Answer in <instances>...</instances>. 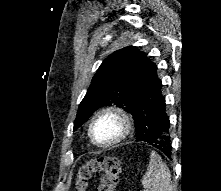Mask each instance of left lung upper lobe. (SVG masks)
Segmentation results:
<instances>
[{"mask_svg": "<svg viewBox=\"0 0 221 191\" xmlns=\"http://www.w3.org/2000/svg\"><path fill=\"white\" fill-rule=\"evenodd\" d=\"M144 53L129 46L110 54L100 65L80 103L74 131L102 106L115 104L132 113V89Z\"/></svg>", "mask_w": 221, "mask_h": 191, "instance_id": "5c2ea615", "label": "left lung upper lobe"}]
</instances>
